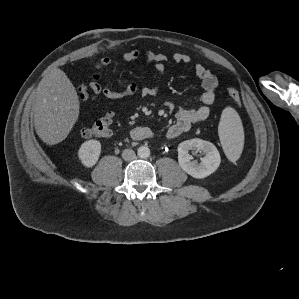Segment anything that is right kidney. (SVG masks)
<instances>
[{
    "label": "right kidney",
    "mask_w": 299,
    "mask_h": 299,
    "mask_svg": "<svg viewBox=\"0 0 299 299\" xmlns=\"http://www.w3.org/2000/svg\"><path fill=\"white\" fill-rule=\"evenodd\" d=\"M101 143L97 140L85 141L78 150V157L81 163L87 167H93L100 156Z\"/></svg>",
    "instance_id": "obj_1"
}]
</instances>
